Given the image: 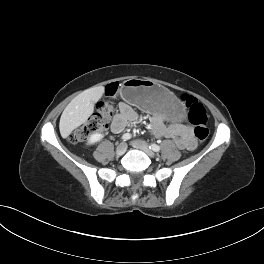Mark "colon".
Returning <instances> with one entry per match:
<instances>
[{
  "label": "colon",
  "mask_w": 264,
  "mask_h": 264,
  "mask_svg": "<svg viewBox=\"0 0 264 264\" xmlns=\"http://www.w3.org/2000/svg\"><path fill=\"white\" fill-rule=\"evenodd\" d=\"M117 89L118 84L116 83H112L106 88L107 97L97 103L95 113L71 134V142L79 143L91 134L96 133L107 126L108 121L115 111L112 97L117 92ZM183 100L188 108V119L194 126V136L202 142L209 135L206 109L195 97L185 95Z\"/></svg>",
  "instance_id": "5ec220e1"
}]
</instances>
